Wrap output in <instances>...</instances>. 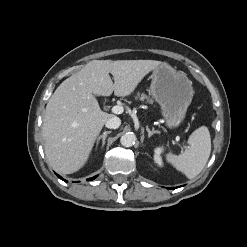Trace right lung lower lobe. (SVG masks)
<instances>
[{"label":"right lung lower lobe","instance_id":"98d812e1","mask_svg":"<svg viewBox=\"0 0 247 247\" xmlns=\"http://www.w3.org/2000/svg\"><path fill=\"white\" fill-rule=\"evenodd\" d=\"M57 176H58V178H60L61 180H63V181H65L66 182V180L65 179H63L61 176H59L58 174H56ZM96 178V176H94V177H91V178H89V179H87L88 181H91V180H94Z\"/></svg>","mask_w":247,"mask_h":247}]
</instances>
